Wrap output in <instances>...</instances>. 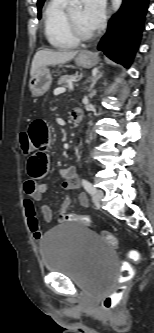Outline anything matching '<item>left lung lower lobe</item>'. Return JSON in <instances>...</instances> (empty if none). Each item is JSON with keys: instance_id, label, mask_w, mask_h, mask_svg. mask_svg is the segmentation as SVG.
<instances>
[{"instance_id": "obj_1", "label": "left lung lower lobe", "mask_w": 154, "mask_h": 333, "mask_svg": "<svg viewBox=\"0 0 154 333\" xmlns=\"http://www.w3.org/2000/svg\"><path fill=\"white\" fill-rule=\"evenodd\" d=\"M148 0H124L112 17L98 50L112 60L129 67L138 48Z\"/></svg>"}]
</instances>
